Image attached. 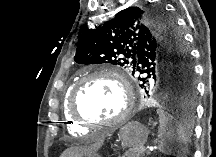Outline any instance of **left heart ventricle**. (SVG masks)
<instances>
[{
	"mask_svg": "<svg viewBox=\"0 0 216 157\" xmlns=\"http://www.w3.org/2000/svg\"><path fill=\"white\" fill-rule=\"evenodd\" d=\"M77 106L80 113L87 118L108 121L119 116L124 108V97L114 80L97 77L82 87Z\"/></svg>",
	"mask_w": 216,
	"mask_h": 157,
	"instance_id": "obj_1",
	"label": "left heart ventricle"
}]
</instances>
